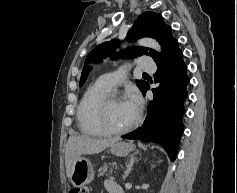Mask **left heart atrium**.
<instances>
[{"label":"left heart atrium","instance_id":"obj_1","mask_svg":"<svg viewBox=\"0 0 237 193\" xmlns=\"http://www.w3.org/2000/svg\"><path fill=\"white\" fill-rule=\"evenodd\" d=\"M125 102L132 111L134 117L136 118L139 115V112L142 107V101L138 93L137 92L130 93Z\"/></svg>","mask_w":237,"mask_h":193}]
</instances>
